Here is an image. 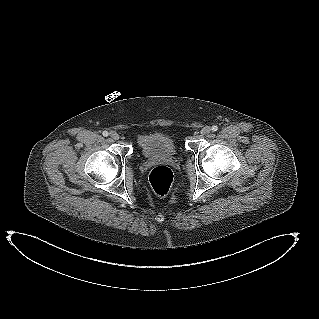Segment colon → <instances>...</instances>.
Instances as JSON below:
<instances>
[{"instance_id":"5ec220e1","label":"colon","mask_w":319,"mask_h":319,"mask_svg":"<svg viewBox=\"0 0 319 319\" xmlns=\"http://www.w3.org/2000/svg\"><path fill=\"white\" fill-rule=\"evenodd\" d=\"M174 180L173 171L167 166L154 167L149 175L150 186L159 196H165L169 193Z\"/></svg>"}]
</instances>
